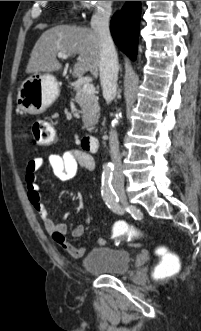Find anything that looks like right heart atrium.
Here are the masks:
<instances>
[{
	"label": "right heart atrium",
	"instance_id": "1",
	"mask_svg": "<svg viewBox=\"0 0 201 331\" xmlns=\"http://www.w3.org/2000/svg\"><path fill=\"white\" fill-rule=\"evenodd\" d=\"M81 15L85 19H102V16H109L111 1H78Z\"/></svg>",
	"mask_w": 201,
	"mask_h": 331
}]
</instances>
